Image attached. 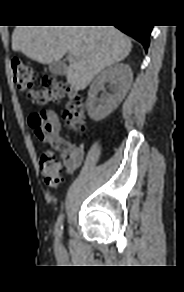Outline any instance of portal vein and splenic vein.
<instances>
[{
	"label": "portal vein and splenic vein",
	"mask_w": 184,
	"mask_h": 292,
	"mask_svg": "<svg viewBox=\"0 0 184 292\" xmlns=\"http://www.w3.org/2000/svg\"><path fill=\"white\" fill-rule=\"evenodd\" d=\"M73 58L72 54H68V59L71 60Z\"/></svg>",
	"instance_id": "18ae733b"
}]
</instances>
